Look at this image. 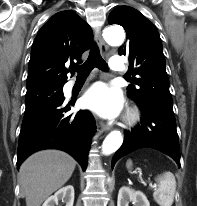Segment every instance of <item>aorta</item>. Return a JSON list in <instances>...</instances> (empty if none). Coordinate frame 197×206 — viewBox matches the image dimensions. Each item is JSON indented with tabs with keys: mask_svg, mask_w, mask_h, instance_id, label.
Returning a JSON list of instances; mask_svg holds the SVG:
<instances>
[{
	"mask_svg": "<svg viewBox=\"0 0 197 206\" xmlns=\"http://www.w3.org/2000/svg\"><path fill=\"white\" fill-rule=\"evenodd\" d=\"M125 34L120 27H108L104 30V39L113 46H119L123 43ZM123 143V137L119 131H112L102 144V152L105 155L114 153Z\"/></svg>",
	"mask_w": 197,
	"mask_h": 206,
	"instance_id": "aorta-1",
	"label": "aorta"
}]
</instances>
